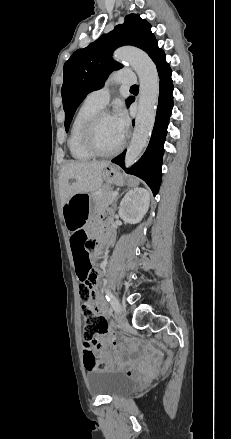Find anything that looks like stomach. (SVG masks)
<instances>
[{
	"mask_svg": "<svg viewBox=\"0 0 231 439\" xmlns=\"http://www.w3.org/2000/svg\"><path fill=\"white\" fill-rule=\"evenodd\" d=\"M102 174L107 184H125V177L113 165L106 167ZM128 182L135 184L136 180L130 178ZM93 201L94 194L76 193L62 206L64 222L69 230L80 228L85 219L94 212Z\"/></svg>",
	"mask_w": 231,
	"mask_h": 439,
	"instance_id": "obj_1",
	"label": "stomach"
}]
</instances>
